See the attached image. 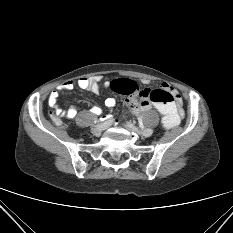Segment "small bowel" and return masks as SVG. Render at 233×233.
<instances>
[{
  "mask_svg": "<svg viewBox=\"0 0 233 233\" xmlns=\"http://www.w3.org/2000/svg\"><path fill=\"white\" fill-rule=\"evenodd\" d=\"M100 80H101L100 76L83 77L77 81V85L80 89L90 91L94 94H98ZM104 86L106 88H108L111 86V83L106 81L104 83ZM73 87H74L73 81H70V80L65 81L62 84L55 87L52 90V92L50 93L48 103H49V106L52 109H54L55 114L57 116L64 114L68 119H73L77 115V107L76 106H71L64 112H62V110L58 106L59 92L69 91V90L73 89ZM162 88L171 92V94L173 95V98H174L175 107H176L177 111L180 114H182L183 113V111H182V99H181V96L178 94L177 90L167 83L163 84ZM105 105L109 108H113L116 105L115 98H113V97L106 98ZM126 105L132 113H140V112L148 110L151 107V104L149 101L141 102V101H138L132 97L126 100ZM90 112L94 115L100 116V115H102L103 110L98 106H92L90 108ZM111 119H112V123L115 122V119L113 117H111V116L107 117V120H111Z\"/></svg>",
  "mask_w": 233,
  "mask_h": 233,
  "instance_id": "1",
  "label": "small bowel"
}]
</instances>
